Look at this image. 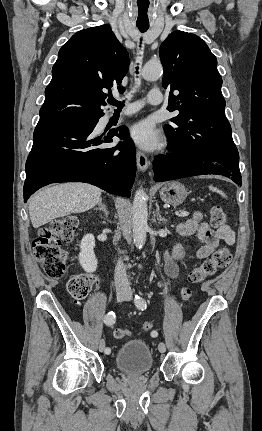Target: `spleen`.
<instances>
[{"label": "spleen", "mask_w": 262, "mask_h": 431, "mask_svg": "<svg viewBox=\"0 0 262 431\" xmlns=\"http://www.w3.org/2000/svg\"><path fill=\"white\" fill-rule=\"evenodd\" d=\"M209 188L215 192H218L222 197H226V195L222 191L218 190L217 188L212 186H210Z\"/></svg>", "instance_id": "1"}]
</instances>
